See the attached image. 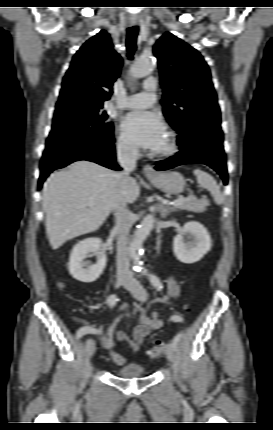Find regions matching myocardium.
<instances>
[{"mask_svg": "<svg viewBox=\"0 0 273 430\" xmlns=\"http://www.w3.org/2000/svg\"><path fill=\"white\" fill-rule=\"evenodd\" d=\"M178 151V138L174 131L167 132V145L164 149L155 152L158 158H169L175 155Z\"/></svg>", "mask_w": 273, "mask_h": 430, "instance_id": "myocardium-1", "label": "myocardium"}]
</instances>
